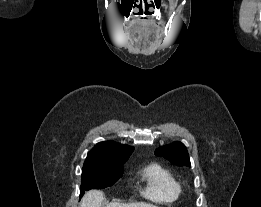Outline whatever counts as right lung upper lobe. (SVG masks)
<instances>
[{
    "label": "right lung upper lobe",
    "mask_w": 261,
    "mask_h": 207,
    "mask_svg": "<svg viewBox=\"0 0 261 207\" xmlns=\"http://www.w3.org/2000/svg\"><path fill=\"white\" fill-rule=\"evenodd\" d=\"M134 147L114 141H104L96 144L88 153L84 166L106 165L122 158H129Z\"/></svg>",
    "instance_id": "1"
}]
</instances>
